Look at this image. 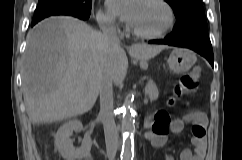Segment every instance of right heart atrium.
<instances>
[{
	"instance_id": "right-heart-atrium-1",
	"label": "right heart atrium",
	"mask_w": 242,
	"mask_h": 160,
	"mask_svg": "<svg viewBox=\"0 0 242 160\" xmlns=\"http://www.w3.org/2000/svg\"><path fill=\"white\" fill-rule=\"evenodd\" d=\"M97 20L103 28H114L116 26V21L114 17L111 14L102 10L98 12Z\"/></svg>"
}]
</instances>
